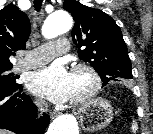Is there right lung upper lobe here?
I'll use <instances>...</instances> for the list:
<instances>
[{
	"mask_svg": "<svg viewBox=\"0 0 153 134\" xmlns=\"http://www.w3.org/2000/svg\"><path fill=\"white\" fill-rule=\"evenodd\" d=\"M29 34L30 22L24 12L13 4L0 10V69L12 67L9 57L25 49Z\"/></svg>",
	"mask_w": 153,
	"mask_h": 134,
	"instance_id": "right-lung-upper-lobe-1",
	"label": "right lung upper lobe"
}]
</instances>
